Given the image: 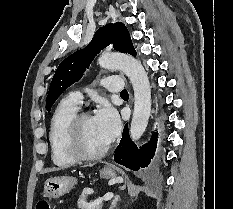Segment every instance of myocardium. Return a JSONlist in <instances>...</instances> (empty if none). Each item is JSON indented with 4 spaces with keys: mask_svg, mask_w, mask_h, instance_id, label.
Listing matches in <instances>:
<instances>
[{
    "mask_svg": "<svg viewBox=\"0 0 233 209\" xmlns=\"http://www.w3.org/2000/svg\"><path fill=\"white\" fill-rule=\"evenodd\" d=\"M92 117L89 112H81L76 114L69 122L65 134L66 150L76 160L91 161L102 158L110 149L107 143L101 150L97 152H87L80 145V126L86 119Z\"/></svg>",
    "mask_w": 233,
    "mask_h": 209,
    "instance_id": "f54148a6",
    "label": "myocardium"
}]
</instances>
